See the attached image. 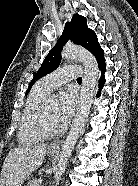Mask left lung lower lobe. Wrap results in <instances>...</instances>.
<instances>
[{
	"label": "left lung lower lobe",
	"instance_id": "obj_1",
	"mask_svg": "<svg viewBox=\"0 0 138 186\" xmlns=\"http://www.w3.org/2000/svg\"><path fill=\"white\" fill-rule=\"evenodd\" d=\"M99 67H100V70H101V78H100V81H99V88L101 90L103 85H104V83H105L104 73H105L106 65L104 63L103 65H101ZM99 95H100V92H98L97 96H99Z\"/></svg>",
	"mask_w": 138,
	"mask_h": 186
}]
</instances>
